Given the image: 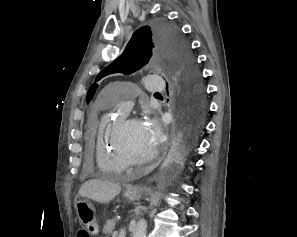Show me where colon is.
<instances>
[{
  "mask_svg": "<svg viewBox=\"0 0 297 237\" xmlns=\"http://www.w3.org/2000/svg\"><path fill=\"white\" fill-rule=\"evenodd\" d=\"M77 237H89V234L85 230H79L77 232Z\"/></svg>",
  "mask_w": 297,
  "mask_h": 237,
  "instance_id": "obj_1",
  "label": "colon"
}]
</instances>
